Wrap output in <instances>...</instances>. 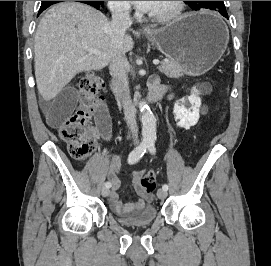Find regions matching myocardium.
Masks as SVG:
<instances>
[{"mask_svg": "<svg viewBox=\"0 0 271 266\" xmlns=\"http://www.w3.org/2000/svg\"><path fill=\"white\" fill-rule=\"evenodd\" d=\"M184 10V1H172L169 10L163 13H149V18L157 22H169L176 19Z\"/></svg>", "mask_w": 271, "mask_h": 266, "instance_id": "obj_1", "label": "myocardium"}]
</instances>
